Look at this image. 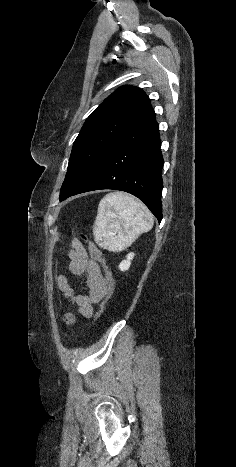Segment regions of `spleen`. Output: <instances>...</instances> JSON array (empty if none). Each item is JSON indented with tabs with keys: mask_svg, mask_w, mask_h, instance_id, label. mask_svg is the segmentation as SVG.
Returning <instances> with one entry per match:
<instances>
[{
	"mask_svg": "<svg viewBox=\"0 0 236 467\" xmlns=\"http://www.w3.org/2000/svg\"><path fill=\"white\" fill-rule=\"evenodd\" d=\"M153 223V215L142 202L123 192H112L99 203L94 240L104 249L120 252L151 230Z\"/></svg>",
	"mask_w": 236,
	"mask_h": 467,
	"instance_id": "obj_1",
	"label": "spleen"
}]
</instances>
